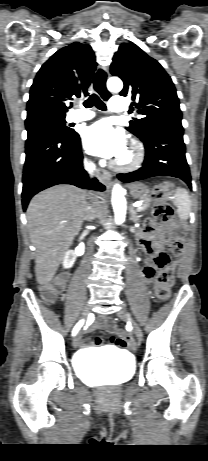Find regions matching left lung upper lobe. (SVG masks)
Here are the masks:
<instances>
[{"mask_svg":"<svg viewBox=\"0 0 208 461\" xmlns=\"http://www.w3.org/2000/svg\"><path fill=\"white\" fill-rule=\"evenodd\" d=\"M110 72L124 82L120 95L130 96L132 105L143 116L130 121V126L126 128L128 131L143 140L157 127H182L176 89L158 61L137 45L122 43L113 57Z\"/></svg>","mask_w":208,"mask_h":461,"instance_id":"obj_1","label":"left lung upper lobe"}]
</instances>
